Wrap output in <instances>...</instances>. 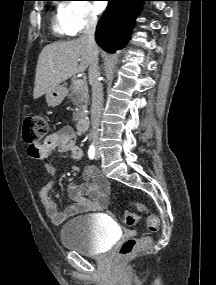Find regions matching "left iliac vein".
Returning a JSON list of instances; mask_svg holds the SVG:
<instances>
[{"label":"left iliac vein","mask_w":216,"mask_h":285,"mask_svg":"<svg viewBox=\"0 0 216 285\" xmlns=\"http://www.w3.org/2000/svg\"><path fill=\"white\" fill-rule=\"evenodd\" d=\"M99 158H100V153L98 150H96L95 159L98 160Z\"/></svg>","instance_id":"obj_1"}]
</instances>
